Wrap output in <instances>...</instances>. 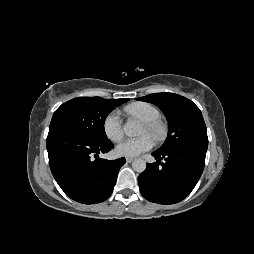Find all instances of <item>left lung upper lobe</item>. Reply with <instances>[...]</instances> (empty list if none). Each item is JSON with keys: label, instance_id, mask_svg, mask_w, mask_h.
<instances>
[{"label": "left lung upper lobe", "instance_id": "left-lung-upper-lobe-1", "mask_svg": "<svg viewBox=\"0 0 254 254\" xmlns=\"http://www.w3.org/2000/svg\"><path fill=\"white\" fill-rule=\"evenodd\" d=\"M137 100L158 106L169 122L168 136L158 152L187 146L207 149L206 125L200 109L191 100L174 93H155Z\"/></svg>", "mask_w": 254, "mask_h": 254}]
</instances>
